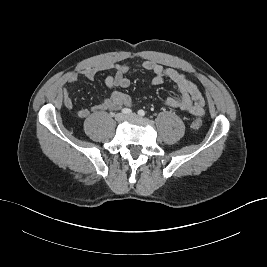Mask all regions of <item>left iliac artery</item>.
I'll return each mask as SVG.
<instances>
[{
	"instance_id": "1",
	"label": "left iliac artery",
	"mask_w": 267,
	"mask_h": 267,
	"mask_svg": "<svg viewBox=\"0 0 267 267\" xmlns=\"http://www.w3.org/2000/svg\"><path fill=\"white\" fill-rule=\"evenodd\" d=\"M138 115L139 116H144L145 115V111L144 110H139L138 111Z\"/></svg>"
}]
</instances>
